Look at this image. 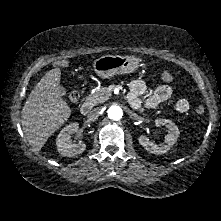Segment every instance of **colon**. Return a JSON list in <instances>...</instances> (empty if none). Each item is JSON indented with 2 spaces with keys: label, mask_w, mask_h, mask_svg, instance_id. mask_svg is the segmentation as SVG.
I'll return each instance as SVG.
<instances>
[{
  "label": "colon",
  "mask_w": 221,
  "mask_h": 221,
  "mask_svg": "<svg viewBox=\"0 0 221 221\" xmlns=\"http://www.w3.org/2000/svg\"><path fill=\"white\" fill-rule=\"evenodd\" d=\"M161 78L163 81L165 82H171L173 80V76L171 73L169 72H162L161 73ZM70 99L72 101H77L79 99V93L77 91H72L70 93ZM195 112L198 114V115H201L204 113V107L203 106H197L196 109H195Z\"/></svg>",
  "instance_id": "obj_1"
}]
</instances>
